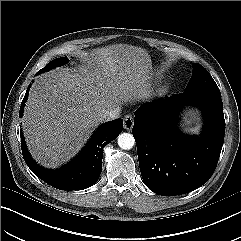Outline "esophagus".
Returning <instances> with one entry per match:
<instances>
[{"label":"esophagus","mask_w":241,"mask_h":241,"mask_svg":"<svg viewBox=\"0 0 241 241\" xmlns=\"http://www.w3.org/2000/svg\"><path fill=\"white\" fill-rule=\"evenodd\" d=\"M133 125H134V120L132 115H126L124 117V128L126 130H131L133 128Z\"/></svg>","instance_id":"obj_1"}]
</instances>
